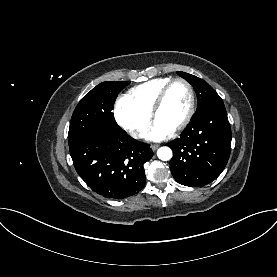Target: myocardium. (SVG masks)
Here are the masks:
<instances>
[{
    "label": "myocardium",
    "instance_id": "f54148a6",
    "mask_svg": "<svg viewBox=\"0 0 277 277\" xmlns=\"http://www.w3.org/2000/svg\"><path fill=\"white\" fill-rule=\"evenodd\" d=\"M176 83L184 84L187 87L188 92H189V96H190V104H189L188 112H187L185 118L182 120V122L176 128H174L175 132H179V131L183 130L190 123V121H191V119H192V117L195 113V109H196L195 91H194L193 86L186 79L180 78V77L171 79L161 89L158 96L156 97V99L153 103V106L151 108L150 115L153 119H156V116H157L159 110L161 109V107L163 106V104L165 102V99L167 97V94H168L169 90Z\"/></svg>",
    "mask_w": 277,
    "mask_h": 277
}]
</instances>
